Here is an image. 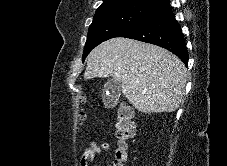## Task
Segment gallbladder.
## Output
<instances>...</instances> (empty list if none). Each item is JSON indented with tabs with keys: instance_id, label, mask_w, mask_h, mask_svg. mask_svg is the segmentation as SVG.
I'll return each mask as SVG.
<instances>
[{
	"instance_id": "bac80fb5",
	"label": "gallbladder",
	"mask_w": 227,
	"mask_h": 166,
	"mask_svg": "<svg viewBox=\"0 0 227 166\" xmlns=\"http://www.w3.org/2000/svg\"><path fill=\"white\" fill-rule=\"evenodd\" d=\"M121 90L122 83L116 78L109 79L105 83L102 93V100L106 107L111 108L117 104L121 95Z\"/></svg>"
}]
</instances>
